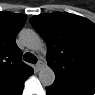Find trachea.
Instances as JSON below:
<instances>
[{"instance_id":"1","label":"trachea","mask_w":95,"mask_h":95,"mask_svg":"<svg viewBox=\"0 0 95 95\" xmlns=\"http://www.w3.org/2000/svg\"><path fill=\"white\" fill-rule=\"evenodd\" d=\"M23 59L26 62L33 63V64H35L37 62V57L29 52L24 54Z\"/></svg>"}]
</instances>
